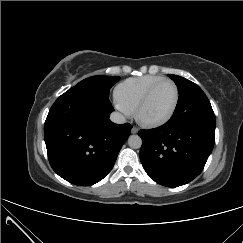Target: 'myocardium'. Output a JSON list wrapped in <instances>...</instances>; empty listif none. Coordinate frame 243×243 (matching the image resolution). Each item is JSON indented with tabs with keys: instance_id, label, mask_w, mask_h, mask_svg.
<instances>
[{
	"instance_id": "1",
	"label": "myocardium",
	"mask_w": 243,
	"mask_h": 243,
	"mask_svg": "<svg viewBox=\"0 0 243 243\" xmlns=\"http://www.w3.org/2000/svg\"><path fill=\"white\" fill-rule=\"evenodd\" d=\"M165 83H170L174 87V90H175V100H174V104L172 106L171 111L169 112V114L167 116H165L164 118H162L160 120L147 121V120L142 119L141 112L144 109V107L146 106V104L148 103L152 94L155 92V90L159 86H161L162 84H165ZM179 100H180V92H179V88H178L177 84L173 80H170V79L160 80L148 89V91L145 93V95L142 97V99L138 103V105L134 111L135 119L141 126H143L145 128H158V127L164 126L167 123H169L172 120V118L174 117V115L177 111L178 105H179Z\"/></svg>"
}]
</instances>
